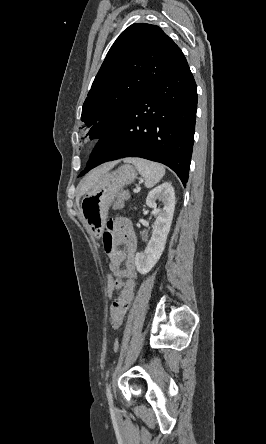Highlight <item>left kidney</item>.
<instances>
[{
	"mask_svg": "<svg viewBox=\"0 0 266 444\" xmlns=\"http://www.w3.org/2000/svg\"><path fill=\"white\" fill-rule=\"evenodd\" d=\"M157 200L162 203V210L156 208ZM146 204L158 216L154 223L152 237L146 249L135 256L137 271L143 275L147 274L155 266L164 251L175 208L174 188L168 182L157 186L148 193Z\"/></svg>",
	"mask_w": 266,
	"mask_h": 444,
	"instance_id": "left-kidney-1",
	"label": "left kidney"
}]
</instances>
